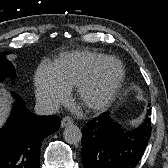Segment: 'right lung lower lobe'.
<instances>
[{"mask_svg":"<svg viewBox=\"0 0 168 168\" xmlns=\"http://www.w3.org/2000/svg\"><path fill=\"white\" fill-rule=\"evenodd\" d=\"M8 122L0 129V168H39L41 144L60 126L57 116H36L28 111L20 96Z\"/></svg>","mask_w":168,"mask_h":168,"instance_id":"98d812e1","label":"right lung lower lobe"}]
</instances>
